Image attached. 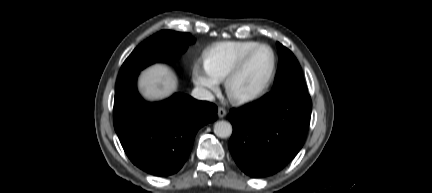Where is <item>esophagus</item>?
<instances>
[{"label":"esophagus","instance_id":"34e87169","mask_svg":"<svg viewBox=\"0 0 432 193\" xmlns=\"http://www.w3.org/2000/svg\"><path fill=\"white\" fill-rule=\"evenodd\" d=\"M227 114L226 110L223 107H219L218 108V117L219 118H223L225 117Z\"/></svg>","mask_w":432,"mask_h":193}]
</instances>
